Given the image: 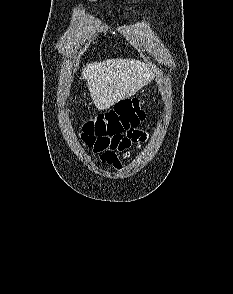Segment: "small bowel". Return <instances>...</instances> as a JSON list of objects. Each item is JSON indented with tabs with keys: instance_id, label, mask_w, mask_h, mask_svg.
I'll list each match as a JSON object with an SVG mask.
<instances>
[{
	"instance_id": "c3829d8e",
	"label": "small bowel",
	"mask_w": 233,
	"mask_h": 294,
	"mask_svg": "<svg viewBox=\"0 0 233 294\" xmlns=\"http://www.w3.org/2000/svg\"><path fill=\"white\" fill-rule=\"evenodd\" d=\"M127 137H130L128 139V142L126 145H124L120 150H124L129 147L130 143L133 142H138V141H144L146 138V135L142 133L141 131H136V132H127ZM102 160L107 162L110 165H113L115 167L120 166V162L116 156V154L113 151H106L102 154L101 156Z\"/></svg>"
}]
</instances>
